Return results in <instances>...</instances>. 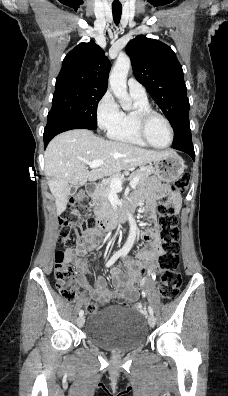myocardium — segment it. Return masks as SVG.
<instances>
[{
  "label": "myocardium",
  "mask_w": 228,
  "mask_h": 396,
  "mask_svg": "<svg viewBox=\"0 0 228 396\" xmlns=\"http://www.w3.org/2000/svg\"><path fill=\"white\" fill-rule=\"evenodd\" d=\"M153 117L161 118L166 123V125L168 127V130L170 133V140H169L168 144L163 147L154 145L148 138L147 125H148V122L150 121V119ZM134 118H135L137 132H138L140 138L148 146L155 148V149L162 150V149H167L172 145L173 140H174V129L172 127L171 122L165 115H163L162 113H160L154 109H135Z\"/></svg>",
  "instance_id": "myocardium-1"
}]
</instances>
